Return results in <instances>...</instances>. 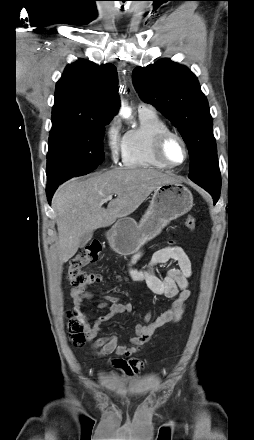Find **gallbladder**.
I'll return each mask as SVG.
<instances>
[{
    "instance_id": "1",
    "label": "gallbladder",
    "mask_w": 254,
    "mask_h": 440,
    "mask_svg": "<svg viewBox=\"0 0 254 440\" xmlns=\"http://www.w3.org/2000/svg\"><path fill=\"white\" fill-rule=\"evenodd\" d=\"M92 238V232L88 231L85 232L82 236H81V240H80V247H84Z\"/></svg>"
}]
</instances>
